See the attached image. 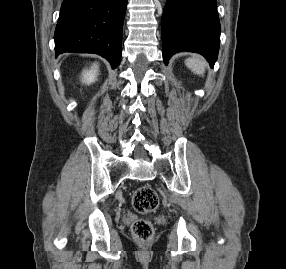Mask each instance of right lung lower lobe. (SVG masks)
I'll list each match as a JSON object with an SVG mask.
<instances>
[{
	"mask_svg": "<svg viewBox=\"0 0 286 269\" xmlns=\"http://www.w3.org/2000/svg\"><path fill=\"white\" fill-rule=\"evenodd\" d=\"M126 6L127 0H64L54 34L56 55L96 53L116 68Z\"/></svg>",
	"mask_w": 286,
	"mask_h": 269,
	"instance_id": "98d812e1",
	"label": "right lung lower lobe"
}]
</instances>
